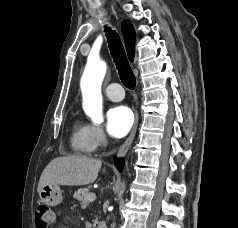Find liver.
<instances>
[{
    "label": "liver",
    "instance_id": "obj_1",
    "mask_svg": "<svg viewBox=\"0 0 238 228\" xmlns=\"http://www.w3.org/2000/svg\"><path fill=\"white\" fill-rule=\"evenodd\" d=\"M100 159L70 155L53 159L41 174L37 191L46 184L82 186L93 183L101 168Z\"/></svg>",
    "mask_w": 238,
    "mask_h": 228
}]
</instances>
